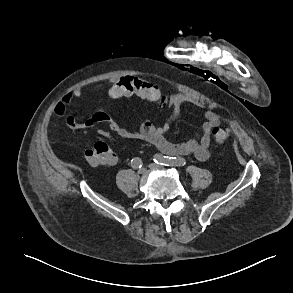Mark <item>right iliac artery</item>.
<instances>
[{
  "label": "right iliac artery",
  "instance_id": "1",
  "mask_svg": "<svg viewBox=\"0 0 293 293\" xmlns=\"http://www.w3.org/2000/svg\"><path fill=\"white\" fill-rule=\"evenodd\" d=\"M131 165L134 169H138V168H141L143 163H142V160L138 157H135L131 160Z\"/></svg>",
  "mask_w": 293,
  "mask_h": 293
}]
</instances>
